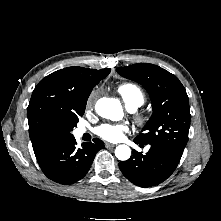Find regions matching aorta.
Returning <instances> with one entry per match:
<instances>
[{
  "mask_svg": "<svg viewBox=\"0 0 221 221\" xmlns=\"http://www.w3.org/2000/svg\"><path fill=\"white\" fill-rule=\"evenodd\" d=\"M95 110L98 115L103 118L117 121L123 117V109L119 100L114 98H100L95 105ZM115 156L121 160L126 161L131 156V149L127 145H118L115 149Z\"/></svg>",
  "mask_w": 221,
  "mask_h": 221,
  "instance_id": "762f6f07",
  "label": "aorta"
}]
</instances>
